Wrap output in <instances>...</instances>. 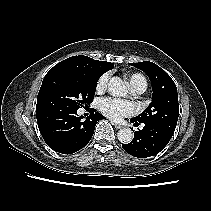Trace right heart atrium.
<instances>
[{
    "label": "right heart atrium",
    "instance_id": "right-heart-atrium-1",
    "mask_svg": "<svg viewBox=\"0 0 211 211\" xmlns=\"http://www.w3.org/2000/svg\"><path fill=\"white\" fill-rule=\"evenodd\" d=\"M108 80H109V75L108 74H103L98 82H97V85H96V90L98 92H102L105 90L106 86H107V83H108Z\"/></svg>",
    "mask_w": 211,
    "mask_h": 211
}]
</instances>
